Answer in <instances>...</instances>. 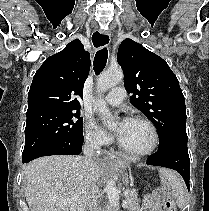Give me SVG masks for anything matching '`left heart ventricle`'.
Segmentation results:
<instances>
[{
	"mask_svg": "<svg viewBox=\"0 0 209 211\" xmlns=\"http://www.w3.org/2000/svg\"><path fill=\"white\" fill-rule=\"evenodd\" d=\"M151 140L149 129L142 123L132 121L119 142L130 150L145 149Z\"/></svg>",
	"mask_w": 209,
	"mask_h": 211,
	"instance_id": "left-heart-ventricle-1",
	"label": "left heart ventricle"
}]
</instances>
